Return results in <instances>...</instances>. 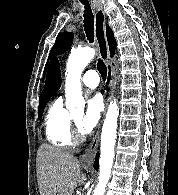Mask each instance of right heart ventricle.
I'll return each mask as SVG.
<instances>
[{"mask_svg":"<svg viewBox=\"0 0 178 195\" xmlns=\"http://www.w3.org/2000/svg\"><path fill=\"white\" fill-rule=\"evenodd\" d=\"M45 134L48 141L57 147H70L73 144L71 116L63 105L62 98L55 99L45 117Z\"/></svg>","mask_w":178,"mask_h":195,"instance_id":"obj_1","label":"right heart ventricle"}]
</instances>
